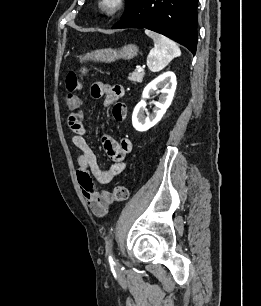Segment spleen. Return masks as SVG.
Here are the masks:
<instances>
[{"instance_id":"spleen-1","label":"spleen","mask_w":261,"mask_h":306,"mask_svg":"<svg viewBox=\"0 0 261 306\" xmlns=\"http://www.w3.org/2000/svg\"><path fill=\"white\" fill-rule=\"evenodd\" d=\"M154 41V48L150 50L147 57V66L152 72H158L166 67L175 57L181 55L178 45L169 38L154 31L145 30Z\"/></svg>"}]
</instances>
